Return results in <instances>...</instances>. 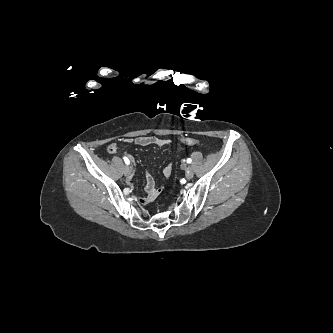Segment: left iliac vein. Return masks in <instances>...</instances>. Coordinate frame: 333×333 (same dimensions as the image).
Here are the masks:
<instances>
[{
	"label": "left iliac vein",
	"mask_w": 333,
	"mask_h": 333,
	"mask_svg": "<svg viewBox=\"0 0 333 333\" xmlns=\"http://www.w3.org/2000/svg\"><path fill=\"white\" fill-rule=\"evenodd\" d=\"M184 170H185L186 178L191 179L194 175L192 168L190 166H185Z\"/></svg>",
	"instance_id": "obj_1"
}]
</instances>
